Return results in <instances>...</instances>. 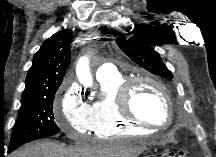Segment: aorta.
<instances>
[{
  "label": "aorta",
  "instance_id": "obj_1",
  "mask_svg": "<svg viewBox=\"0 0 216 157\" xmlns=\"http://www.w3.org/2000/svg\"><path fill=\"white\" fill-rule=\"evenodd\" d=\"M76 73H77L78 80L83 86L88 87L92 85V76L86 58H82L78 62Z\"/></svg>",
  "mask_w": 216,
  "mask_h": 157
}]
</instances>
